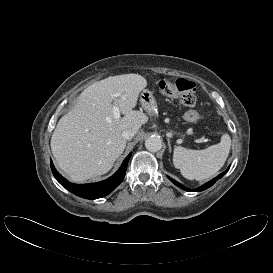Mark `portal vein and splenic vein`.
Returning a JSON list of instances; mask_svg holds the SVG:
<instances>
[{
    "label": "portal vein and splenic vein",
    "mask_w": 273,
    "mask_h": 273,
    "mask_svg": "<svg viewBox=\"0 0 273 273\" xmlns=\"http://www.w3.org/2000/svg\"><path fill=\"white\" fill-rule=\"evenodd\" d=\"M118 96H120L119 93L114 94V97H118ZM113 114H114V118H116V119L120 118V110L116 105L113 106Z\"/></svg>",
    "instance_id": "18ae733b"
}]
</instances>
